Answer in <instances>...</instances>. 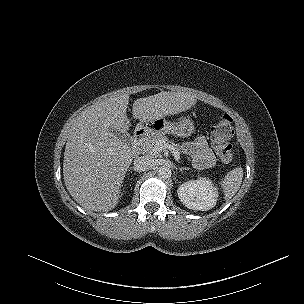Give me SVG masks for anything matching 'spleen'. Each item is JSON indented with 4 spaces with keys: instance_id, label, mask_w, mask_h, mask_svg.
<instances>
[{
    "instance_id": "obj_1",
    "label": "spleen",
    "mask_w": 304,
    "mask_h": 304,
    "mask_svg": "<svg viewBox=\"0 0 304 304\" xmlns=\"http://www.w3.org/2000/svg\"><path fill=\"white\" fill-rule=\"evenodd\" d=\"M243 174V169L237 167L225 176L221 184L226 199L232 198L237 193L242 183Z\"/></svg>"
}]
</instances>
